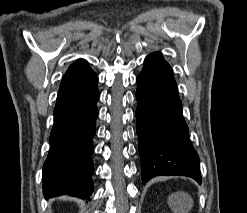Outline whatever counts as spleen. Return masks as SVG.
<instances>
[{
    "mask_svg": "<svg viewBox=\"0 0 247 213\" xmlns=\"http://www.w3.org/2000/svg\"><path fill=\"white\" fill-rule=\"evenodd\" d=\"M171 206L175 213H186L191 208V202L185 196H175L172 197Z\"/></svg>",
    "mask_w": 247,
    "mask_h": 213,
    "instance_id": "1",
    "label": "spleen"
}]
</instances>
